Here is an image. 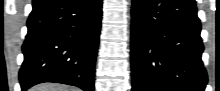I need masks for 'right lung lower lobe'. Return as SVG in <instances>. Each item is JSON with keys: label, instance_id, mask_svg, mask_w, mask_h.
<instances>
[{"label": "right lung lower lobe", "instance_id": "obj_1", "mask_svg": "<svg viewBox=\"0 0 220 91\" xmlns=\"http://www.w3.org/2000/svg\"><path fill=\"white\" fill-rule=\"evenodd\" d=\"M102 0H33L19 72L22 91L43 82L94 90Z\"/></svg>", "mask_w": 220, "mask_h": 91}]
</instances>
